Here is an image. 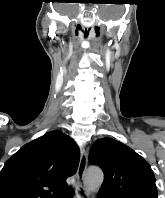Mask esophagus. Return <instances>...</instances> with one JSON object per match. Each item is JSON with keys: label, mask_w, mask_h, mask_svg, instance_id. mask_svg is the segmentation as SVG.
Masks as SVG:
<instances>
[{"label": "esophagus", "mask_w": 165, "mask_h": 198, "mask_svg": "<svg viewBox=\"0 0 165 198\" xmlns=\"http://www.w3.org/2000/svg\"><path fill=\"white\" fill-rule=\"evenodd\" d=\"M87 162H88L87 152L83 150L81 152L79 165L76 173L77 184L75 188V198H85L82 193V190L84 191V194H86V189L84 186V176L87 167Z\"/></svg>", "instance_id": "obj_1"}]
</instances>
